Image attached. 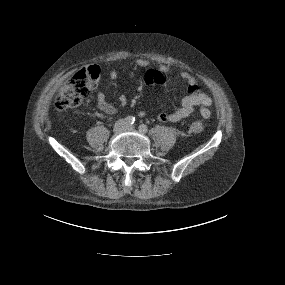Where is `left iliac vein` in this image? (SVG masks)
Masks as SVG:
<instances>
[{"mask_svg": "<svg viewBox=\"0 0 285 285\" xmlns=\"http://www.w3.org/2000/svg\"><path fill=\"white\" fill-rule=\"evenodd\" d=\"M125 129L126 130H134L135 127L133 125L127 124Z\"/></svg>", "mask_w": 285, "mask_h": 285, "instance_id": "4c4485c4", "label": "left iliac vein"}]
</instances>
